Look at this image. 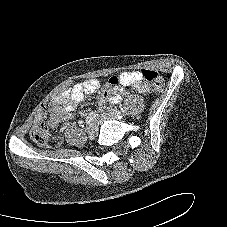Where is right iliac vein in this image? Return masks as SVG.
Masks as SVG:
<instances>
[{
	"label": "right iliac vein",
	"instance_id": "63e3f726",
	"mask_svg": "<svg viewBox=\"0 0 227 227\" xmlns=\"http://www.w3.org/2000/svg\"><path fill=\"white\" fill-rule=\"evenodd\" d=\"M87 133H88V137L90 139H94L97 134H98V127L95 123H92L90 124L88 127H87Z\"/></svg>",
	"mask_w": 227,
	"mask_h": 227
}]
</instances>
